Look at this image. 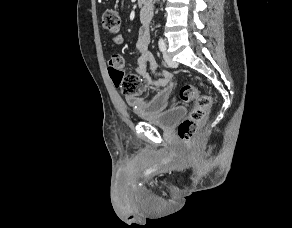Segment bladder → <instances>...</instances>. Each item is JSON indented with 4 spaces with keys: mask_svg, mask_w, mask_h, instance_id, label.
<instances>
[{
    "mask_svg": "<svg viewBox=\"0 0 292 228\" xmlns=\"http://www.w3.org/2000/svg\"><path fill=\"white\" fill-rule=\"evenodd\" d=\"M186 108L179 106L170 108L154 116H144L142 120L149 124L168 129L186 115Z\"/></svg>",
    "mask_w": 292,
    "mask_h": 228,
    "instance_id": "31cf9c89",
    "label": "bladder"
}]
</instances>
